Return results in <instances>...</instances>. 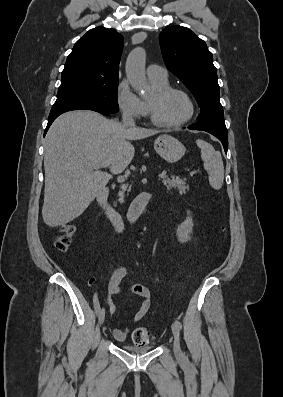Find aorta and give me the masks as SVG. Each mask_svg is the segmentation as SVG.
I'll return each mask as SVG.
<instances>
[{"mask_svg":"<svg viewBox=\"0 0 283 397\" xmlns=\"http://www.w3.org/2000/svg\"><path fill=\"white\" fill-rule=\"evenodd\" d=\"M146 53L142 48H135L128 56L126 61V75L132 88L145 94L149 90V85L145 76Z\"/></svg>","mask_w":283,"mask_h":397,"instance_id":"762f6f07","label":"aorta"}]
</instances>
